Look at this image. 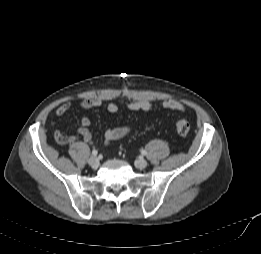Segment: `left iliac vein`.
<instances>
[{
    "label": "left iliac vein",
    "mask_w": 261,
    "mask_h": 254,
    "mask_svg": "<svg viewBox=\"0 0 261 254\" xmlns=\"http://www.w3.org/2000/svg\"><path fill=\"white\" fill-rule=\"evenodd\" d=\"M147 165H148L147 161H146L144 158H142V157L138 158V159L135 161V166H136L138 169H144V168L147 167Z\"/></svg>",
    "instance_id": "left-iliac-vein-1"
}]
</instances>
